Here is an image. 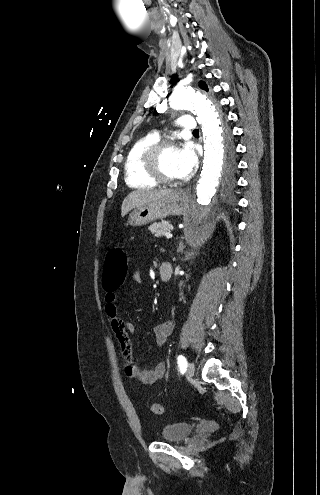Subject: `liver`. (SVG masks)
I'll return each mask as SVG.
<instances>
[{"label":"liver","mask_w":320,"mask_h":495,"mask_svg":"<svg viewBox=\"0 0 320 495\" xmlns=\"http://www.w3.org/2000/svg\"><path fill=\"white\" fill-rule=\"evenodd\" d=\"M170 192L171 190L133 191L123 200L121 206V216L124 217L132 209L156 201Z\"/></svg>","instance_id":"obj_1"}]
</instances>
